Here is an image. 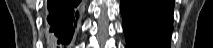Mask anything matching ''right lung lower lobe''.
I'll list each match as a JSON object with an SVG mask.
<instances>
[{
  "label": "right lung lower lobe",
  "instance_id": "right-lung-lower-lobe-1",
  "mask_svg": "<svg viewBox=\"0 0 213 48\" xmlns=\"http://www.w3.org/2000/svg\"><path fill=\"white\" fill-rule=\"evenodd\" d=\"M79 3L80 0H48V22L53 32L52 39L58 44L70 42Z\"/></svg>",
  "mask_w": 213,
  "mask_h": 48
}]
</instances>
